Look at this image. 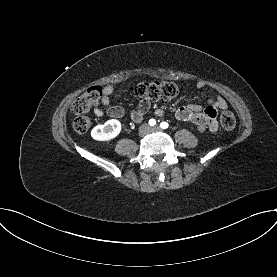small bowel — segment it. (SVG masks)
I'll use <instances>...</instances> for the list:
<instances>
[{
	"label": "small bowel",
	"instance_id": "1",
	"mask_svg": "<svg viewBox=\"0 0 277 277\" xmlns=\"http://www.w3.org/2000/svg\"><path fill=\"white\" fill-rule=\"evenodd\" d=\"M198 89H204L206 83L204 81H199L197 83ZM115 92L113 85H106L102 89L101 103L106 106L105 110H102L99 107L94 108V114L97 117H102L107 115L111 118H122L125 115H128L129 118L134 123H141L144 119L145 114L150 109L149 100H142L138 104V107L131 111H126L122 106L119 105H110L111 97ZM227 107L226 101L219 94H214L208 101L207 104L202 107L198 104H188L176 110L175 117L180 121L191 122L193 123L199 131H204L209 129L212 132H215L218 129V124L216 121L218 109H225ZM155 115L162 117L164 111L162 109H157Z\"/></svg>",
	"mask_w": 277,
	"mask_h": 277
}]
</instances>
